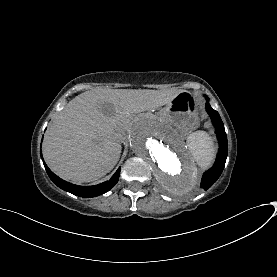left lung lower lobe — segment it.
Returning a JSON list of instances; mask_svg holds the SVG:
<instances>
[{"mask_svg": "<svg viewBox=\"0 0 277 277\" xmlns=\"http://www.w3.org/2000/svg\"><path fill=\"white\" fill-rule=\"evenodd\" d=\"M205 107H206L207 113L210 115L212 122L215 126L216 134L220 145L215 164L211 169H209L207 172L203 174V177L201 180V184H200L201 188L207 190L214 184V182H216V180L219 178V176L221 175L224 169L227 154H228V142H227V136L225 133L224 125L220 118V115L218 114L217 111L211 108L209 103H206Z\"/></svg>", "mask_w": 277, "mask_h": 277, "instance_id": "1", "label": "left lung lower lobe"}]
</instances>
